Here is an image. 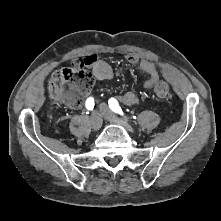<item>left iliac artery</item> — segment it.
Masks as SVG:
<instances>
[{
	"instance_id": "1",
	"label": "left iliac artery",
	"mask_w": 221,
	"mask_h": 221,
	"mask_svg": "<svg viewBox=\"0 0 221 221\" xmlns=\"http://www.w3.org/2000/svg\"><path fill=\"white\" fill-rule=\"evenodd\" d=\"M108 104H109V107L110 109L115 112V113H118L120 115H123V111L118 103V101L115 99V98H110L109 101H108Z\"/></svg>"
}]
</instances>
